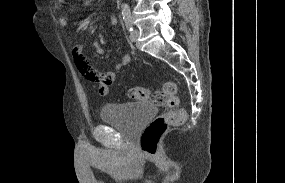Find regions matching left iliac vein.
I'll use <instances>...</instances> for the list:
<instances>
[{"instance_id": "obj_1", "label": "left iliac vein", "mask_w": 285, "mask_h": 183, "mask_svg": "<svg viewBox=\"0 0 285 183\" xmlns=\"http://www.w3.org/2000/svg\"><path fill=\"white\" fill-rule=\"evenodd\" d=\"M138 36H139L138 30H137V29H133V30L131 31V33H130V40H131L132 42H136L137 39H138Z\"/></svg>"}]
</instances>
